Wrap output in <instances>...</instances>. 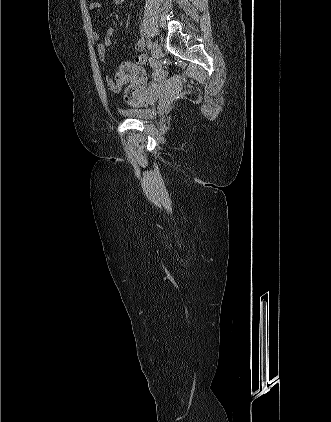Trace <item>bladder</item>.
<instances>
[{
  "mask_svg": "<svg viewBox=\"0 0 331 422\" xmlns=\"http://www.w3.org/2000/svg\"><path fill=\"white\" fill-rule=\"evenodd\" d=\"M158 108L157 107H149V108H128L124 109L122 112L124 115L138 120H148L155 117L157 114Z\"/></svg>",
  "mask_w": 331,
  "mask_h": 422,
  "instance_id": "bladder-1",
  "label": "bladder"
}]
</instances>
